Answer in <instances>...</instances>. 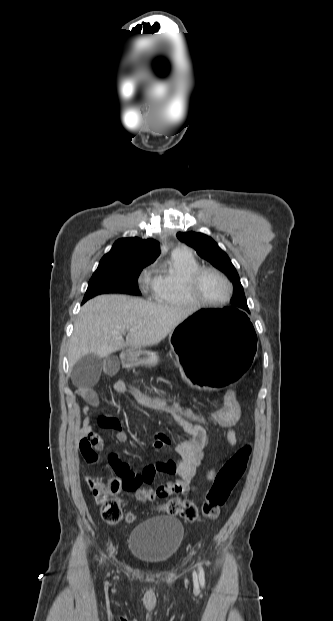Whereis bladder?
<instances>
[{"label":"bladder","instance_id":"bladder-1","mask_svg":"<svg viewBox=\"0 0 333 621\" xmlns=\"http://www.w3.org/2000/svg\"><path fill=\"white\" fill-rule=\"evenodd\" d=\"M184 526L173 516H155L136 526L129 536L131 554L150 565H162L181 548Z\"/></svg>","mask_w":333,"mask_h":621}]
</instances>
